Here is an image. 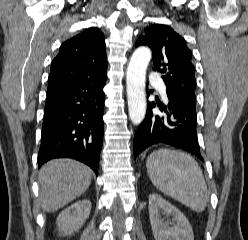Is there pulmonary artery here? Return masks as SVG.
<instances>
[{"label": "pulmonary artery", "mask_w": 248, "mask_h": 240, "mask_svg": "<svg viewBox=\"0 0 248 240\" xmlns=\"http://www.w3.org/2000/svg\"><path fill=\"white\" fill-rule=\"evenodd\" d=\"M158 79H159V77H158V75H156V74H152V75L150 76V81H151L152 83H155L156 81H158ZM159 90H160L161 93L165 96V94H166V88H165V86L159 87Z\"/></svg>", "instance_id": "1"}]
</instances>
